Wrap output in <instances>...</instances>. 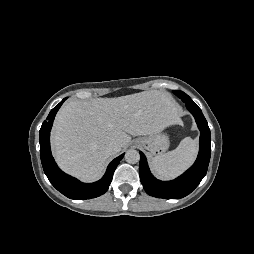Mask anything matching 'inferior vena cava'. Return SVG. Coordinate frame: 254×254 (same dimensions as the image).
Wrapping results in <instances>:
<instances>
[{
  "label": "inferior vena cava",
  "instance_id": "1",
  "mask_svg": "<svg viewBox=\"0 0 254 254\" xmlns=\"http://www.w3.org/2000/svg\"><path fill=\"white\" fill-rule=\"evenodd\" d=\"M121 150V147L119 144L117 143H111L109 144L107 147H106V153L109 155V156H112V155H115L117 154L118 152H120Z\"/></svg>",
  "mask_w": 254,
  "mask_h": 254
}]
</instances>
